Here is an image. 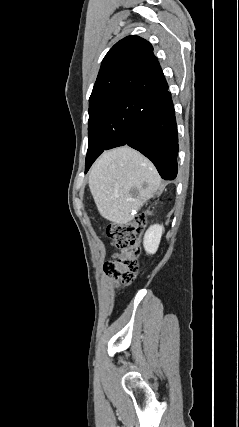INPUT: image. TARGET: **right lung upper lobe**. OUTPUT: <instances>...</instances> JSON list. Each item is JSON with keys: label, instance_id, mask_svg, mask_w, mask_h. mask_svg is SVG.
Returning <instances> with one entry per match:
<instances>
[{"label": "right lung upper lobe", "instance_id": "cb5924a9", "mask_svg": "<svg viewBox=\"0 0 239 427\" xmlns=\"http://www.w3.org/2000/svg\"><path fill=\"white\" fill-rule=\"evenodd\" d=\"M168 89L152 45L132 35L117 42L104 57L89 105L125 96L149 97Z\"/></svg>", "mask_w": 239, "mask_h": 427}]
</instances>
